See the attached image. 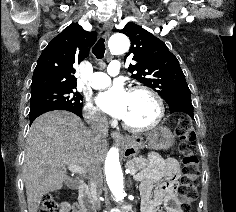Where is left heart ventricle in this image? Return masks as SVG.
Returning a JSON list of instances; mask_svg holds the SVG:
<instances>
[{"mask_svg": "<svg viewBox=\"0 0 236 212\" xmlns=\"http://www.w3.org/2000/svg\"><path fill=\"white\" fill-rule=\"evenodd\" d=\"M156 114L157 107L148 95L142 92L129 93L124 121L132 126L141 127L151 123Z\"/></svg>", "mask_w": 236, "mask_h": 212, "instance_id": "obj_1", "label": "left heart ventricle"}]
</instances>
